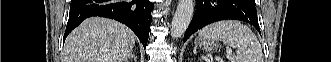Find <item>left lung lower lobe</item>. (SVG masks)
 Segmentation results:
<instances>
[{
    "label": "left lung lower lobe",
    "instance_id": "0a47b994",
    "mask_svg": "<svg viewBox=\"0 0 331 62\" xmlns=\"http://www.w3.org/2000/svg\"><path fill=\"white\" fill-rule=\"evenodd\" d=\"M226 19L247 22L260 32L254 0H196V11L184 42L202 27Z\"/></svg>",
    "mask_w": 331,
    "mask_h": 62
}]
</instances>
